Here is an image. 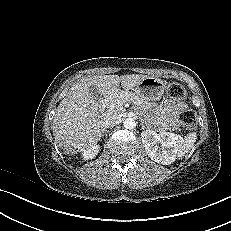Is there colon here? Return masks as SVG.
<instances>
[{
	"instance_id": "5ec220e1",
	"label": "colon",
	"mask_w": 231,
	"mask_h": 231,
	"mask_svg": "<svg viewBox=\"0 0 231 231\" xmlns=\"http://www.w3.org/2000/svg\"><path fill=\"white\" fill-rule=\"evenodd\" d=\"M166 92L170 98L175 100H184L187 96L185 88L176 82L169 83ZM179 122L184 128L193 129L196 125L195 112L190 108H186L180 113Z\"/></svg>"
}]
</instances>
